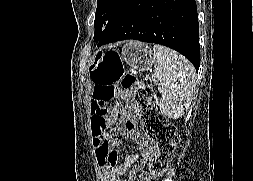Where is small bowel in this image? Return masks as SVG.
<instances>
[{
    "label": "small bowel",
    "instance_id": "1",
    "mask_svg": "<svg viewBox=\"0 0 253 181\" xmlns=\"http://www.w3.org/2000/svg\"><path fill=\"white\" fill-rule=\"evenodd\" d=\"M132 98V91H120L116 96V100L122 101L123 105L117 104L110 108L108 115L103 120L92 117V143L103 181H152V176L147 170V164L154 158L157 150L149 139L134 130L135 121L125 112V109L132 110L134 108ZM91 107L94 110L92 103ZM121 115H125L123 123L124 133L130 134L132 139L141 146V152L128 154L122 162H119L117 147L120 141L107 132L112 130V125L118 122ZM140 158L142 161L136 163ZM129 167L132 168L128 176L122 178Z\"/></svg>",
    "mask_w": 253,
    "mask_h": 181
}]
</instances>
